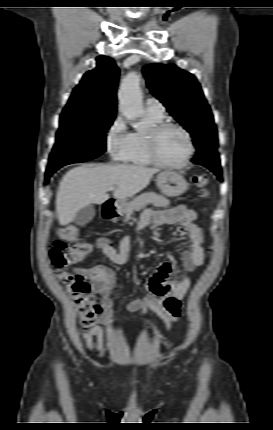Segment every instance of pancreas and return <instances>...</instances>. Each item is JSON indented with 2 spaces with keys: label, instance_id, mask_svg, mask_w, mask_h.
Returning <instances> with one entry per match:
<instances>
[{
  "label": "pancreas",
  "instance_id": "cf45deb5",
  "mask_svg": "<svg viewBox=\"0 0 273 430\" xmlns=\"http://www.w3.org/2000/svg\"><path fill=\"white\" fill-rule=\"evenodd\" d=\"M152 203L156 207L168 206L170 201L164 196L155 192H146L133 199L125 208V221H129L132 218L134 211L141 210Z\"/></svg>",
  "mask_w": 273,
  "mask_h": 430
}]
</instances>
